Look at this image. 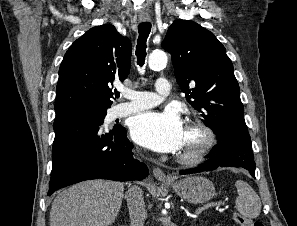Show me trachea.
I'll use <instances>...</instances> for the list:
<instances>
[{
    "label": "trachea",
    "mask_w": 297,
    "mask_h": 226,
    "mask_svg": "<svg viewBox=\"0 0 297 226\" xmlns=\"http://www.w3.org/2000/svg\"><path fill=\"white\" fill-rule=\"evenodd\" d=\"M151 31V23L142 22L138 26L139 37L136 45L137 64L143 66L146 57V42ZM115 96L118 98L120 94L117 92Z\"/></svg>",
    "instance_id": "obj_1"
}]
</instances>
